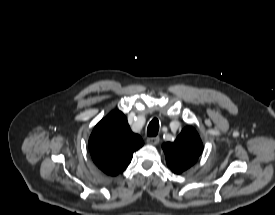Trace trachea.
Wrapping results in <instances>:
<instances>
[{"mask_svg": "<svg viewBox=\"0 0 275 215\" xmlns=\"http://www.w3.org/2000/svg\"><path fill=\"white\" fill-rule=\"evenodd\" d=\"M159 131V121L157 119H153L147 128V135L149 137H154L158 134Z\"/></svg>", "mask_w": 275, "mask_h": 215, "instance_id": "trachea-1", "label": "trachea"}]
</instances>
